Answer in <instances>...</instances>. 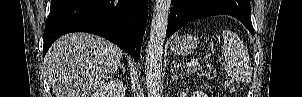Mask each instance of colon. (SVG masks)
Masks as SVG:
<instances>
[{"instance_id": "obj_1", "label": "colon", "mask_w": 302, "mask_h": 97, "mask_svg": "<svg viewBox=\"0 0 302 97\" xmlns=\"http://www.w3.org/2000/svg\"><path fill=\"white\" fill-rule=\"evenodd\" d=\"M200 74L204 78H206L208 80H212L216 75V71L211 65L204 64L200 68ZM225 87L227 90L233 91L237 87V82L235 80L229 78L225 81Z\"/></svg>"}]
</instances>
